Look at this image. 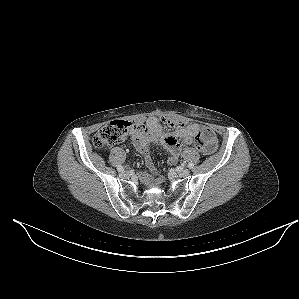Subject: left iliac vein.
Listing matches in <instances>:
<instances>
[{"label": "left iliac vein", "instance_id": "obj_1", "mask_svg": "<svg viewBox=\"0 0 299 299\" xmlns=\"http://www.w3.org/2000/svg\"><path fill=\"white\" fill-rule=\"evenodd\" d=\"M190 173L189 169L187 168H182V169H179L177 170V174L180 176V177H186L188 176Z\"/></svg>", "mask_w": 299, "mask_h": 299}]
</instances>
